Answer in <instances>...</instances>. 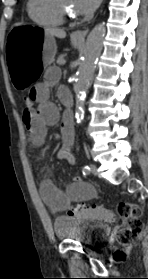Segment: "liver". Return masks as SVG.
<instances>
[{"label": "liver", "mask_w": 148, "mask_h": 279, "mask_svg": "<svg viewBox=\"0 0 148 279\" xmlns=\"http://www.w3.org/2000/svg\"><path fill=\"white\" fill-rule=\"evenodd\" d=\"M46 34L50 35L51 37H57V38H65L66 37V32L63 29H58V28H45L44 29Z\"/></svg>", "instance_id": "1"}]
</instances>
